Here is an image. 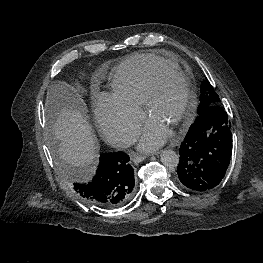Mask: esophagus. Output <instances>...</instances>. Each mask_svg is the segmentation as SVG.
Segmentation results:
<instances>
[{
  "instance_id": "34e87169",
  "label": "esophagus",
  "mask_w": 263,
  "mask_h": 263,
  "mask_svg": "<svg viewBox=\"0 0 263 263\" xmlns=\"http://www.w3.org/2000/svg\"><path fill=\"white\" fill-rule=\"evenodd\" d=\"M156 153L149 154L148 156L154 155ZM146 158V155H138L136 153H133L131 156V160L133 161L134 164H138L141 161H143Z\"/></svg>"
}]
</instances>
